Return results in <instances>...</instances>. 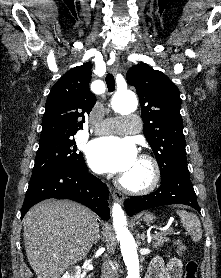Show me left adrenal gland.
<instances>
[{
	"label": "left adrenal gland",
	"instance_id": "1",
	"mask_svg": "<svg viewBox=\"0 0 221 278\" xmlns=\"http://www.w3.org/2000/svg\"><path fill=\"white\" fill-rule=\"evenodd\" d=\"M141 239H142V241L144 242V240H145V234H144V233H142Z\"/></svg>",
	"mask_w": 221,
	"mask_h": 278
}]
</instances>
